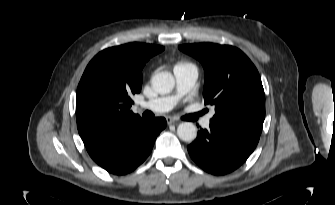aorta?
Masks as SVG:
<instances>
[{
  "mask_svg": "<svg viewBox=\"0 0 335 205\" xmlns=\"http://www.w3.org/2000/svg\"><path fill=\"white\" fill-rule=\"evenodd\" d=\"M151 84L157 93L167 94L173 90L175 79L170 72L163 71L152 77ZM177 135L181 140L191 142L197 136V128L191 122H183L177 128Z\"/></svg>",
  "mask_w": 335,
  "mask_h": 205,
  "instance_id": "1",
  "label": "aorta"
}]
</instances>
